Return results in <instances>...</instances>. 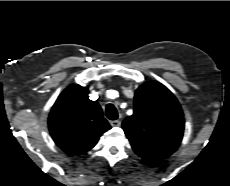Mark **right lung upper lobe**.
<instances>
[{
    "label": "right lung upper lobe",
    "mask_w": 230,
    "mask_h": 186,
    "mask_svg": "<svg viewBox=\"0 0 230 186\" xmlns=\"http://www.w3.org/2000/svg\"><path fill=\"white\" fill-rule=\"evenodd\" d=\"M87 94V88L70 85L60 94L49 115L54 142L70 154L87 152L111 128L99 104L89 100Z\"/></svg>",
    "instance_id": "right-lung-upper-lobe-1"
}]
</instances>
